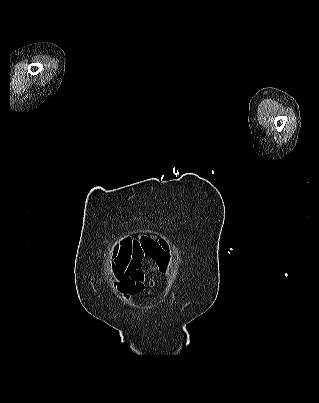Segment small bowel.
<instances>
[{"instance_id":"1","label":"small bowel","mask_w":319,"mask_h":403,"mask_svg":"<svg viewBox=\"0 0 319 403\" xmlns=\"http://www.w3.org/2000/svg\"><path fill=\"white\" fill-rule=\"evenodd\" d=\"M144 258L154 262L163 271L169 263L167 243L152 238L124 239L120 242L109 264L118 290L135 295L144 289Z\"/></svg>"}]
</instances>
